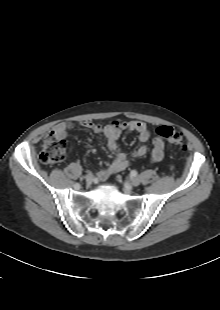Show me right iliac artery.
I'll use <instances>...</instances> for the list:
<instances>
[{"instance_id":"right-iliac-artery-1","label":"right iliac artery","mask_w":220,"mask_h":310,"mask_svg":"<svg viewBox=\"0 0 220 310\" xmlns=\"http://www.w3.org/2000/svg\"><path fill=\"white\" fill-rule=\"evenodd\" d=\"M74 188H75V189H79V188H80V184H79V183H76V184L74 185Z\"/></svg>"}]
</instances>
